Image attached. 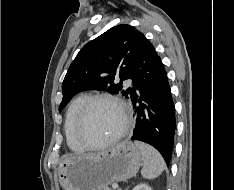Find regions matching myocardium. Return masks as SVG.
I'll use <instances>...</instances> for the list:
<instances>
[{
	"label": "myocardium",
	"instance_id": "f54148a6",
	"mask_svg": "<svg viewBox=\"0 0 234 190\" xmlns=\"http://www.w3.org/2000/svg\"><path fill=\"white\" fill-rule=\"evenodd\" d=\"M98 101H107L110 102L111 104H113L120 112L121 116H122V120H123V124L122 127L120 128V130L114 135L112 136L110 139L101 142V143H97V144H93L91 142H89V140L84 136L83 134V127H84V122L87 116V113L90 109V107ZM131 127V118L129 115V112L126 108V106L124 105V103L118 99L117 97L110 95V94H95V95H91L89 97H87V99L84 101L83 105L81 106L77 118H76V122H75V129H74V133H75V137L76 139L86 148V149H101L104 147H107L109 145L114 144L115 142H117L118 140H120L130 129Z\"/></svg>",
	"mask_w": 234,
	"mask_h": 190
}]
</instances>
